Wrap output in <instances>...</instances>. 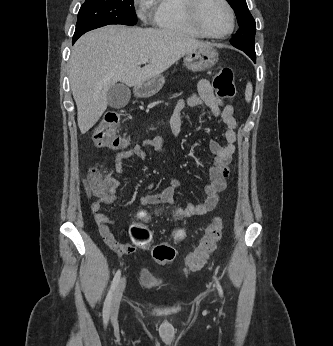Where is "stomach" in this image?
Returning <instances> with one entry per match:
<instances>
[{"instance_id": "1", "label": "stomach", "mask_w": 333, "mask_h": 346, "mask_svg": "<svg viewBox=\"0 0 333 346\" xmlns=\"http://www.w3.org/2000/svg\"><path fill=\"white\" fill-rule=\"evenodd\" d=\"M218 61V52L211 46L201 47L188 52L184 58L187 69L199 72L213 67ZM165 83L162 75L148 79L134 88L136 97L149 98L160 91Z\"/></svg>"}]
</instances>
